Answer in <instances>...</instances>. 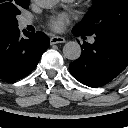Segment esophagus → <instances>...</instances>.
Listing matches in <instances>:
<instances>
[{"instance_id":"esophagus-1","label":"esophagus","mask_w":128,"mask_h":128,"mask_svg":"<svg viewBox=\"0 0 128 128\" xmlns=\"http://www.w3.org/2000/svg\"><path fill=\"white\" fill-rule=\"evenodd\" d=\"M66 40L65 38L63 37H60V36H52L50 38V43L53 45V44H58V43H65Z\"/></svg>"}]
</instances>
